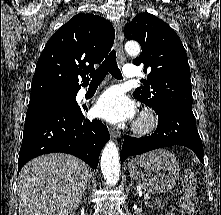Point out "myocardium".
I'll return each instance as SVG.
<instances>
[{"mask_svg":"<svg viewBox=\"0 0 221 215\" xmlns=\"http://www.w3.org/2000/svg\"><path fill=\"white\" fill-rule=\"evenodd\" d=\"M157 125L156 114L151 110H144L134 124L133 131L138 135H146L154 131Z\"/></svg>","mask_w":221,"mask_h":215,"instance_id":"obj_1","label":"myocardium"}]
</instances>
